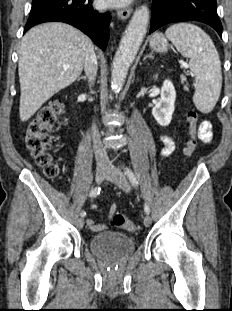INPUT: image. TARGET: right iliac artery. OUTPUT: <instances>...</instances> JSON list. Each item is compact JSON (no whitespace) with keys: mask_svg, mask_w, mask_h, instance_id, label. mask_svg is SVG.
<instances>
[{"mask_svg":"<svg viewBox=\"0 0 232 311\" xmlns=\"http://www.w3.org/2000/svg\"><path fill=\"white\" fill-rule=\"evenodd\" d=\"M100 191H101V187H95V188H93V189L91 190V192H90V197H91V198L96 197L97 195L100 194ZM80 215H81V217H84V216L86 215L85 211H82Z\"/></svg>","mask_w":232,"mask_h":311,"instance_id":"obj_1","label":"right iliac artery"}]
</instances>
